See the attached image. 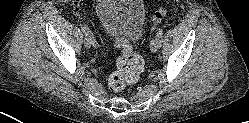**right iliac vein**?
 I'll list each match as a JSON object with an SVG mask.
<instances>
[{
  "mask_svg": "<svg viewBox=\"0 0 249 123\" xmlns=\"http://www.w3.org/2000/svg\"><path fill=\"white\" fill-rule=\"evenodd\" d=\"M91 44H92V43H91L90 37L85 35V38H84V46H85L86 48H90V47H91Z\"/></svg>",
  "mask_w": 249,
  "mask_h": 123,
  "instance_id": "right-iliac-vein-1",
  "label": "right iliac vein"
}]
</instances>
